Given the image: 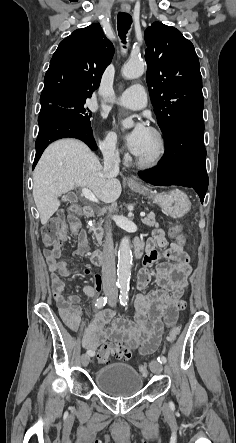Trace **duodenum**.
<instances>
[{
    "label": "duodenum",
    "instance_id": "duodenum-1",
    "mask_svg": "<svg viewBox=\"0 0 236 443\" xmlns=\"http://www.w3.org/2000/svg\"><path fill=\"white\" fill-rule=\"evenodd\" d=\"M84 213L87 218H93L96 214L94 208L91 206H86ZM134 254L136 258H139L141 256V246L134 245ZM91 259L93 264L96 266H101L104 262L100 251H93Z\"/></svg>",
    "mask_w": 236,
    "mask_h": 443
}]
</instances>
